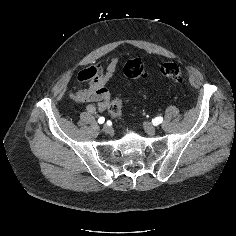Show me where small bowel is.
Returning a JSON list of instances; mask_svg holds the SVG:
<instances>
[{
    "instance_id": "obj_1",
    "label": "small bowel",
    "mask_w": 236,
    "mask_h": 236,
    "mask_svg": "<svg viewBox=\"0 0 236 236\" xmlns=\"http://www.w3.org/2000/svg\"><path fill=\"white\" fill-rule=\"evenodd\" d=\"M119 65V58L112 57L106 67L101 63L89 66L78 74V80L88 83V88H81L78 96L88 102L86 110L90 114L105 111L108 108L111 95L106 88L107 82L115 74Z\"/></svg>"
}]
</instances>
